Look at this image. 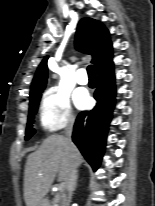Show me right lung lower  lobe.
<instances>
[{"mask_svg":"<svg viewBox=\"0 0 155 206\" xmlns=\"http://www.w3.org/2000/svg\"><path fill=\"white\" fill-rule=\"evenodd\" d=\"M97 104L91 111L81 112L75 122L73 142L77 145L85 159L96 171L105 150L108 126L115 105V77L113 62L110 61L97 72Z\"/></svg>","mask_w":155,"mask_h":206,"instance_id":"right-lung-lower-lobe-1","label":"right lung lower lobe"}]
</instances>
